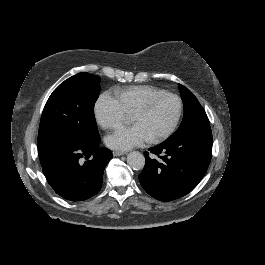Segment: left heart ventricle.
Instances as JSON below:
<instances>
[{"label":"left heart ventricle","instance_id":"b2bd125f","mask_svg":"<svg viewBox=\"0 0 265 265\" xmlns=\"http://www.w3.org/2000/svg\"><path fill=\"white\" fill-rule=\"evenodd\" d=\"M177 101L170 97H160L142 113L133 114L132 122L143 126L150 138L166 129L177 113Z\"/></svg>","mask_w":265,"mask_h":265}]
</instances>
